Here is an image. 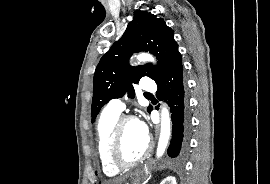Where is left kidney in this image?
<instances>
[{
    "label": "left kidney",
    "instance_id": "5707ae66",
    "mask_svg": "<svg viewBox=\"0 0 270 184\" xmlns=\"http://www.w3.org/2000/svg\"><path fill=\"white\" fill-rule=\"evenodd\" d=\"M160 184H177V182L175 177L168 176Z\"/></svg>",
    "mask_w": 270,
    "mask_h": 184
}]
</instances>
